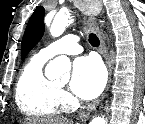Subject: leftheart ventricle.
I'll return each mask as SVG.
<instances>
[{"mask_svg":"<svg viewBox=\"0 0 145 124\" xmlns=\"http://www.w3.org/2000/svg\"><path fill=\"white\" fill-rule=\"evenodd\" d=\"M56 83H58V84L63 86L66 83V80H59Z\"/></svg>","mask_w":145,"mask_h":124,"instance_id":"1","label":"left heart ventricle"}]
</instances>
